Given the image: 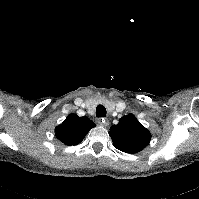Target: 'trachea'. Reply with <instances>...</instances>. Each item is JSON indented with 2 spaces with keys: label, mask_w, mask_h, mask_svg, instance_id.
Instances as JSON below:
<instances>
[{
  "label": "trachea",
  "mask_w": 199,
  "mask_h": 199,
  "mask_svg": "<svg viewBox=\"0 0 199 199\" xmlns=\"http://www.w3.org/2000/svg\"><path fill=\"white\" fill-rule=\"evenodd\" d=\"M96 116L97 117H105L106 116V108L103 105H98L96 108Z\"/></svg>",
  "instance_id": "obj_1"
}]
</instances>
